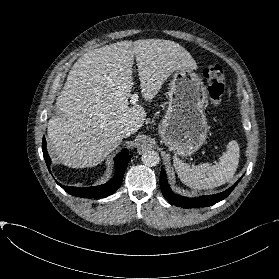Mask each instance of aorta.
I'll return each instance as SVG.
<instances>
[{
  "instance_id": "aorta-1",
  "label": "aorta",
  "mask_w": 279,
  "mask_h": 279,
  "mask_svg": "<svg viewBox=\"0 0 279 279\" xmlns=\"http://www.w3.org/2000/svg\"><path fill=\"white\" fill-rule=\"evenodd\" d=\"M141 159L143 164L149 167L157 166L160 161L159 154L154 150L145 151Z\"/></svg>"
}]
</instances>
